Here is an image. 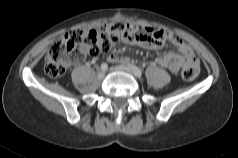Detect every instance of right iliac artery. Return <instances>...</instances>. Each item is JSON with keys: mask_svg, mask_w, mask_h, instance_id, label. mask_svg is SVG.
Returning <instances> with one entry per match:
<instances>
[{"mask_svg": "<svg viewBox=\"0 0 238 158\" xmlns=\"http://www.w3.org/2000/svg\"><path fill=\"white\" fill-rule=\"evenodd\" d=\"M108 69V65L106 63L101 64V70L106 71Z\"/></svg>", "mask_w": 238, "mask_h": 158, "instance_id": "82829eb1", "label": "right iliac artery"}]
</instances>
